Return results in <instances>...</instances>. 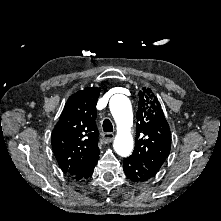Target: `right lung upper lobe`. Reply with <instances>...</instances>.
Wrapping results in <instances>:
<instances>
[{
    "label": "right lung upper lobe",
    "mask_w": 221,
    "mask_h": 221,
    "mask_svg": "<svg viewBox=\"0 0 221 221\" xmlns=\"http://www.w3.org/2000/svg\"><path fill=\"white\" fill-rule=\"evenodd\" d=\"M100 88L79 90L66 102L52 132L56 160L70 178L81 174L99 156L96 104Z\"/></svg>",
    "instance_id": "1"
}]
</instances>
